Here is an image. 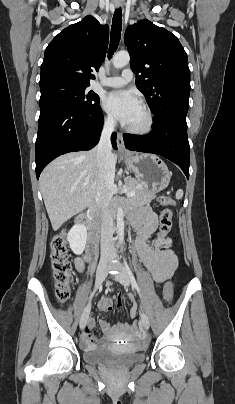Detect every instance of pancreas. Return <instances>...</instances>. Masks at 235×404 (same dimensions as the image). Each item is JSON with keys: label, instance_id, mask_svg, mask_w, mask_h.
<instances>
[{"label": "pancreas", "instance_id": "cf45deb5", "mask_svg": "<svg viewBox=\"0 0 235 404\" xmlns=\"http://www.w3.org/2000/svg\"><path fill=\"white\" fill-rule=\"evenodd\" d=\"M125 184L127 185L129 191H135V195L127 199L133 205L149 203L156 197V195L148 189L147 185L143 181L137 179H127Z\"/></svg>", "mask_w": 235, "mask_h": 404}]
</instances>
